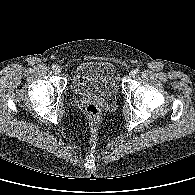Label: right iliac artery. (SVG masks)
Instances as JSON below:
<instances>
[{
    "label": "right iliac artery",
    "instance_id": "82829eb1",
    "mask_svg": "<svg viewBox=\"0 0 195 195\" xmlns=\"http://www.w3.org/2000/svg\"><path fill=\"white\" fill-rule=\"evenodd\" d=\"M51 68L54 70L56 68V66L55 65H52Z\"/></svg>",
    "mask_w": 195,
    "mask_h": 195
}]
</instances>
